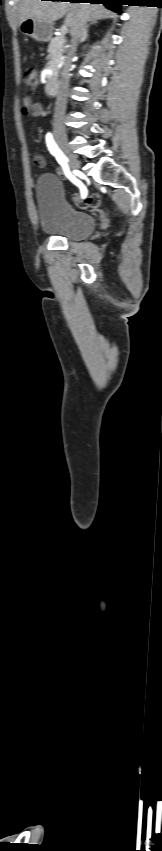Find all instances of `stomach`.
Here are the masks:
<instances>
[{
  "label": "stomach",
  "instance_id": "obj_1",
  "mask_svg": "<svg viewBox=\"0 0 162 851\" xmlns=\"http://www.w3.org/2000/svg\"><path fill=\"white\" fill-rule=\"evenodd\" d=\"M20 31L37 41H49L53 33V24L40 22L31 18L25 19L19 24Z\"/></svg>",
  "mask_w": 162,
  "mask_h": 851
}]
</instances>
